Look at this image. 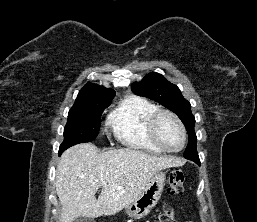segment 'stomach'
I'll return each instance as SVG.
<instances>
[{
  "instance_id": "0dacf381",
  "label": "stomach",
  "mask_w": 257,
  "mask_h": 222,
  "mask_svg": "<svg viewBox=\"0 0 257 222\" xmlns=\"http://www.w3.org/2000/svg\"><path fill=\"white\" fill-rule=\"evenodd\" d=\"M165 179V173H155L141 194L130 205L125 207V214L134 219H140L148 215L161 197Z\"/></svg>"
}]
</instances>
